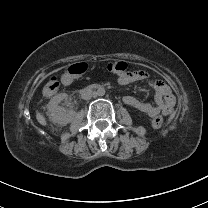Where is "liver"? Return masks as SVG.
<instances>
[{"label": "liver", "mask_w": 208, "mask_h": 208, "mask_svg": "<svg viewBox=\"0 0 208 208\" xmlns=\"http://www.w3.org/2000/svg\"><path fill=\"white\" fill-rule=\"evenodd\" d=\"M35 117H36L37 122L41 126H44V127L47 126V120H46V118L44 117V115L39 110H36L35 111Z\"/></svg>", "instance_id": "liver-1"}]
</instances>
